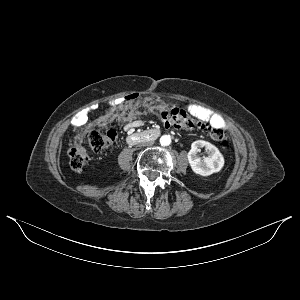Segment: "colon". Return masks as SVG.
<instances>
[{
  "label": "colon",
  "mask_w": 300,
  "mask_h": 300,
  "mask_svg": "<svg viewBox=\"0 0 300 300\" xmlns=\"http://www.w3.org/2000/svg\"><path fill=\"white\" fill-rule=\"evenodd\" d=\"M139 96L136 94L127 97V101L132 103L137 111L153 112L162 124L166 127L180 129H199L204 131L213 140L220 143L223 149L229 147V142L221 127L207 122L199 117L192 116L186 111L178 108H167L157 106L153 103H138ZM87 140L94 151H103L110 148L117 137L114 129H93L87 132ZM69 164L72 170H81L89 161L88 150L80 144H73L68 152Z\"/></svg>",
  "instance_id": "colon-1"
}]
</instances>
